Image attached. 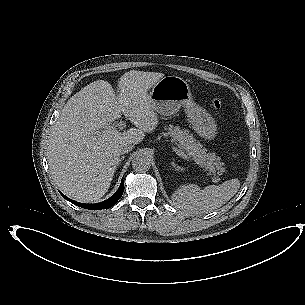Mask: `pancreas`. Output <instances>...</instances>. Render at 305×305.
<instances>
[{
  "instance_id": "1",
  "label": "pancreas",
  "mask_w": 305,
  "mask_h": 305,
  "mask_svg": "<svg viewBox=\"0 0 305 305\" xmlns=\"http://www.w3.org/2000/svg\"><path fill=\"white\" fill-rule=\"evenodd\" d=\"M167 135L171 138V141L176 142L180 151L187 153L192 159L202 162L209 173L214 175V179H216L215 175L217 173L224 172L225 168L220 158L207 153V149L202 147L189 130L181 129L179 126H171L167 128Z\"/></svg>"
}]
</instances>
